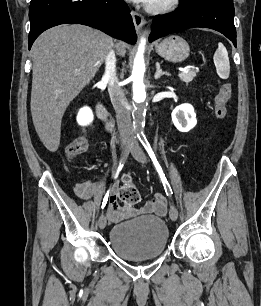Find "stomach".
<instances>
[{
  "label": "stomach",
  "instance_id": "obj_1",
  "mask_svg": "<svg viewBox=\"0 0 261 306\" xmlns=\"http://www.w3.org/2000/svg\"><path fill=\"white\" fill-rule=\"evenodd\" d=\"M156 53L168 61L177 63L188 58L190 47L182 37L171 35L156 45Z\"/></svg>",
  "mask_w": 261,
  "mask_h": 306
}]
</instances>
